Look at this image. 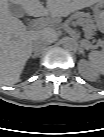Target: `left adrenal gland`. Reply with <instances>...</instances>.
I'll return each mask as SVG.
<instances>
[{"instance_id":"1","label":"left adrenal gland","mask_w":104,"mask_h":137,"mask_svg":"<svg viewBox=\"0 0 104 137\" xmlns=\"http://www.w3.org/2000/svg\"><path fill=\"white\" fill-rule=\"evenodd\" d=\"M80 53L84 55V50H83V48H80Z\"/></svg>"}]
</instances>
